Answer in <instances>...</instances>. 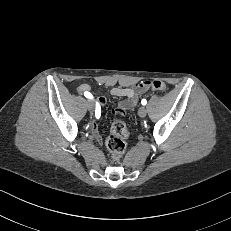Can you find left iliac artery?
Segmentation results:
<instances>
[{
	"label": "left iliac artery",
	"instance_id": "44dca946",
	"mask_svg": "<svg viewBox=\"0 0 231 231\" xmlns=\"http://www.w3.org/2000/svg\"><path fill=\"white\" fill-rule=\"evenodd\" d=\"M141 103H142V105H146V103H147L146 99H143V100L141 101Z\"/></svg>",
	"mask_w": 231,
	"mask_h": 231
}]
</instances>
